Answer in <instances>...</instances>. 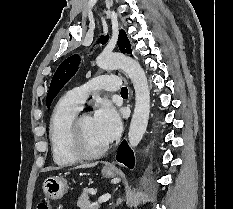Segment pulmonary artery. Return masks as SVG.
Wrapping results in <instances>:
<instances>
[{
  "label": "pulmonary artery",
  "mask_w": 233,
  "mask_h": 209,
  "mask_svg": "<svg viewBox=\"0 0 233 209\" xmlns=\"http://www.w3.org/2000/svg\"><path fill=\"white\" fill-rule=\"evenodd\" d=\"M120 89V78L115 75H100L87 84L76 87L68 92L67 99L79 109L87 99L90 92L93 91H111L115 92Z\"/></svg>",
  "instance_id": "obj_1"
}]
</instances>
